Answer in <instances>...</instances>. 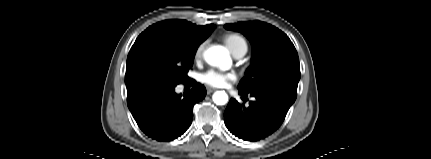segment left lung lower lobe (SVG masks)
I'll use <instances>...</instances> for the list:
<instances>
[{
  "mask_svg": "<svg viewBox=\"0 0 431 159\" xmlns=\"http://www.w3.org/2000/svg\"><path fill=\"white\" fill-rule=\"evenodd\" d=\"M247 96L248 93L239 91ZM249 106L230 99L224 112V121L228 130L245 141H259L276 131L294 103L296 96L276 88L253 91Z\"/></svg>",
  "mask_w": 431,
  "mask_h": 159,
  "instance_id": "left-lung-lower-lobe-1",
  "label": "left lung lower lobe"
}]
</instances>
